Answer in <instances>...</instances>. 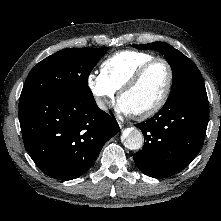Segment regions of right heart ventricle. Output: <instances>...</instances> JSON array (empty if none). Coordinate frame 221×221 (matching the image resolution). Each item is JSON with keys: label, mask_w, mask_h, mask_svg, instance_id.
<instances>
[{"label": "right heart ventricle", "mask_w": 221, "mask_h": 221, "mask_svg": "<svg viewBox=\"0 0 221 221\" xmlns=\"http://www.w3.org/2000/svg\"><path fill=\"white\" fill-rule=\"evenodd\" d=\"M154 58V55L147 52L120 51L102 62L101 73L117 91L142 64Z\"/></svg>", "instance_id": "right-heart-ventricle-1"}]
</instances>
